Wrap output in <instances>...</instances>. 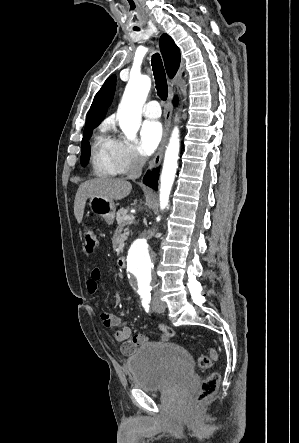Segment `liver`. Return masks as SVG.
I'll return each instance as SVG.
<instances>
[{"label": "liver", "instance_id": "obj_1", "mask_svg": "<svg viewBox=\"0 0 299 443\" xmlns=\"http://www.w3.org/2000/svg\"><path fill=\"white\" fill-rule=\"evenodd\" d=\"M131 190V183L124 178L102 177L81 183L74 200V215L77 222H82L88 198L98 196L112 201L121 200L127 197Z\"/></svg>", "mask_w": 299, "mask_h": 443}]
</instances>
